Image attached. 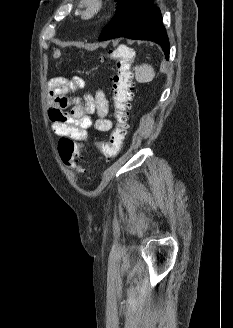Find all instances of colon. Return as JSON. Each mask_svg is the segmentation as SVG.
I'll return each mask as SVG.
<instances>
[{"instance_id": "5ec220e1", "label": "colon", "mask_w": 233, "mask_h": 328, "mask_svg": "<svg viewBox=\"0 0 233 328\" xmlns=\"http://www.w3.org/2000/svg\"><path fill=\"white\" fill-rule=\"evenodd\" d=\"M55 56L60 50H55ZM116 60V72L112 76L113 106L115 126L108 141L98 143L97 147L105 160L113 159L122 149L128 134V115L133 94L132 71L133 52L130 49L116 48L110 51ZM58 153L62 163L69 169L82 173L81 164L85 153L81 145L70 137H61L58 143Z\"/></svg>"}]
</instances>
